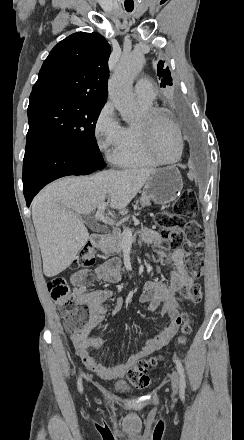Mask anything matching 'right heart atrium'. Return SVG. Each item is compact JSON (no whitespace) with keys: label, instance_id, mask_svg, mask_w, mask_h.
I'll use <instances>...</instances> for the list:
<instances>
[{"label":"right heart atrium","instance_id":"obj_1","mask_svg":"<svg viewBox=\"0 0 244 440\" xmlns=\"http://www.w3.org/2000/svg\"><path fill=\"white\" fill-rule=\"evenodd\" d=\"M124 130L125 128L121 125L116 115L113 103L108 101L96 118L94 134L99 147L107 152L111 158L113 150L117 147L128 151L132 144L131 141L123 138Z\"/></svg>","mask_w":244,"mask_h":440}]
</instances>
